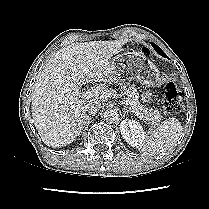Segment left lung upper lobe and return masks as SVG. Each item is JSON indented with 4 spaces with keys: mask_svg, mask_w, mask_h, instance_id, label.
<instances>
[{
    "mask_svg": "<svg viewBox=\"0 0 209 209\" xmlns=\"http://www.w3.org/2000/svg\"><path fill=\"white\" fill-rule=\"evenodd\" d=\"M151 45L153 46V48L155 49V51L157 53H159L161 56L163 57H167V55L160 49V47H158L156 44L151 43Z\"/></svg>",
    "mask_w": 209,
    "mask_h": 209,
    "instance_id": "obj_1",
    "label": "left lung upper lobe"
}]
</instances>
